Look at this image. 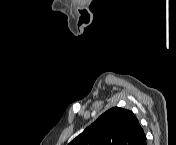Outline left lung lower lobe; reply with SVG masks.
<instances>
[{
  "label": "left lung lower lobe",
  "instance_id": "left-lung-lower-lobe-1",
  "mask_svg": "<svg viewBox=\"0 0 176 145\" xmlns=\"http://www.w3.org/2000/svg\"><path fill=\"white\" fill-rule=\"evenodd\" d=\"M143 145H146V140H145V142H144V144Z\"/></svg>",
  "mask_w": 176,
  "mask_h": 145
}]
</instances>
